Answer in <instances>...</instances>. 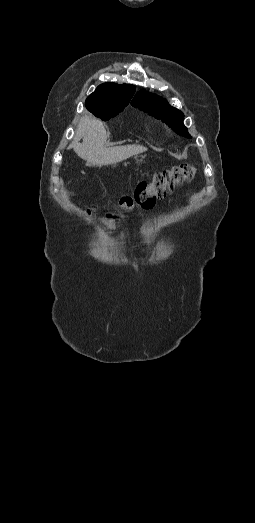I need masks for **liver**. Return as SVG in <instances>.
Wrapping results in <instances>:
<instances>
[{
    "label": "liver",
    "mask_w": 255,
    "mask_h": 523,
    "mask_svg": "<svg viewBox=\"0 0 255 523\" xmlns=\"http://www.w3.org/2000/svg\"><path fill=\"white\" fill-rule=\"evenodd\" d=\"M83 138L82 144H79ZM107 132L101 120H95L90 116H83L81 118L75 132V138L70 144L68 150L73 148L79 158L95 164V166H112L123 162L131 156L143 154L147 148L143 146H114V148H106Z\"/></svg>",
    "instance_id": "6515ba94"
}]
</instances>
